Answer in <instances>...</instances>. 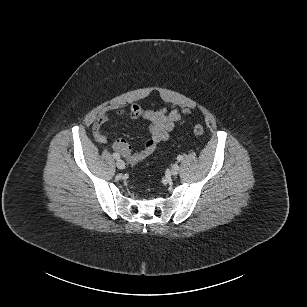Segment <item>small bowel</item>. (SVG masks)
<instances>
[{"label":"small bowel","mask_w":307,"mask_h":307,"mask_svg":"<svg viewBox=\"0 0 307 307\" xmlns=\"http://www.w3.org/2000/svg\"><path fill=\"white\" fill-rule=\"evenodd\" d=\"M187 114H189L187 109H178L176 107L153 111L143 110L137 104H133L128 108L122 105L107 106L99 112L93 124V136L99 143L107 142L102 128L112 115L125 116L131 119L143 118L146 120L150 131V137L146 141L144 147L134 152L129 145L122 140L123 148L116 150L125 157L130 164H137L149 157L155 151L159 143L166 141L174 128L177 125L183 124L184 116Z\"/></svg>","instance_id":"small-bowel-1"}]
</instances>
